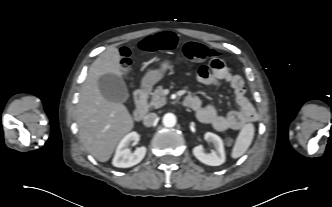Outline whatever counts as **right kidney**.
<instances>
[{
    "label": "right kidney",
    "mask_w": 332,
    "mask_h": 207,
    "mask_svg": "<svg viewBox=\"0 0 332 207\" xmlns=\"http://www.w3.org/2000/svg\"><path fill=\"white\" fill-rule=\"evenodd\" d=\"M139 135L137 132H130L118 144L112 164L119 168L132 167L142 161L146 154V147L137 148L131 153L129 146L132 142H137Z\"/></svg>",
    "instance_id": "ca27d5eb"
}]
</instances>
